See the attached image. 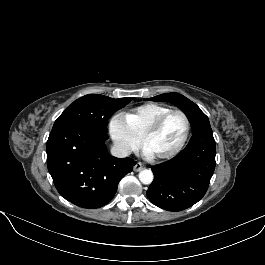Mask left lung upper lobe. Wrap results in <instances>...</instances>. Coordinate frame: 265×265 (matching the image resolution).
Returning a JSON list of instances; mask_svg holds the SVG:
<instances>
[{
    "label": "left lung upper lobe",
    "mask_w": 265,
    "mask_h": 265,
    "mask_svg": "<svg viewBox=\"0 0 265 265\" xmlns=\"http://www.w3.org/2000/svg\"><path fill=\"white\" fill-rule=\"evenodd\" d=\"M150 101L170 102L180 108L190 119L192 132L197 129L210 125L208 117L191 100L178 93H166L149 98Z\"/></svg>",
    "instance_id": "1"
}]
</instances>
